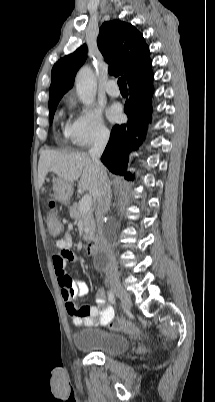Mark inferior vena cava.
<instances>
[{"label":"inferior vena cava","instance_id":"1","mask_svg":"<svg viewBox=\"0 0 215 402\" xmlns=\"http://www.w3.org/2000/svg\"><path fill=\"white\" fill-rule=\"evenodd\" d=\"M109 139V132H103L94 142L89 150V155L95 166L98 175V191H97V209L96 219L98 223L99 235L102 243V250L105 252L108 263L106 268L107 279L110 283H118L119 275L117 269L116 258L106 239V230L104 228V216L110 209L111 203V186L107 176L105 167L100 162V157L105 149Z\"/></svg>","mask_w":215,"mask_h":402}]
</instances>
